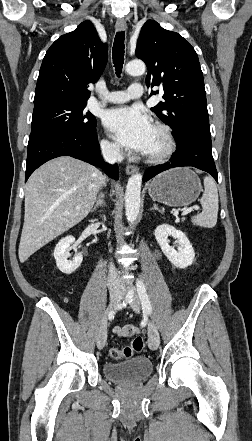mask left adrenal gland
<instances>
[{"instance_id":"1","label":"left adrenal gland","mask_w":252,"mask_h":441,"mask_svg":"<svg viewBox=\"0 0 252 441\" xmlns=\"http://www.w3.org/2000/svg\"><path fill=\"white\" fill-rule=\"evenodd\" d=\"M151 210H157L160 213H163L156 204L153 205V208H151Z\"/></svg>"}]
</instances>
